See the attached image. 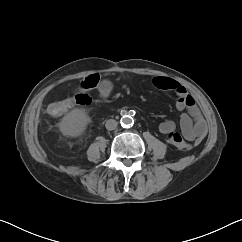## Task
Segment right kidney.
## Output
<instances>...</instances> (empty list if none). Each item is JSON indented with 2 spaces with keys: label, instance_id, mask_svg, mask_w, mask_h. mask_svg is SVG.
Listing matches in <instances>:
<instances>
[{
  "label": "right kidney",
  "instance_id": "obj_1",
  "mask_svg": "<svg viewBox=\"0 0 242 242\" xmlns=\"http://www.w3.org/2000/svg\"><path fill=\"white\" fill-rule=\"evenodd\" d=\"M89 119L88 110L75 108L62 118L60 131L67 137H79L86 131Z\"/></svg>",
  "mask_w": 242,
  "mask_h": 242
}]
</instances>
